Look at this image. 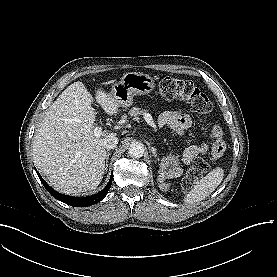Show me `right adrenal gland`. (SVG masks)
Returning a JSON list of instances; mask_svg holds the SVG:
<instances>
[{"instance_id": "obj_1", "label": "right adrenal gland", "mask_w": 277, "mask_h": 277, "mask_svg": "<svg viewBox=\"0 0 277 277\" xmlns=\"http://www.w3.org/2000/svg\"><path fill=\"white\" fill-rule=\"evenodd\" d=\"M111 155V152H107L106 154V161H105V170H107V167H108V160H109V156Z\"/></svg>"}]
</instances>
